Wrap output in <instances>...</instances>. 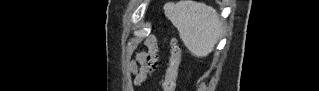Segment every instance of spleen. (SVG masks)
I'll return each mask as SVG.
<instances>
[{"label":"spleen","instance_id":"3e777b00","mask_svg":"<svg viewBox=\"0 0 319 91\" xmlns=\"http://www.w3.org/2000/svg\"><path fill=\"white\" fill-rule=\"evenodd\" d=\"M164 11L193 56L203 58L213 51L223 31L215 9L193 0H180L165 4Z\"/></svg>","mask_w":319,"mask_h":91}]
</instances>
